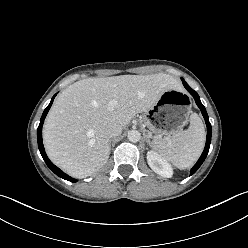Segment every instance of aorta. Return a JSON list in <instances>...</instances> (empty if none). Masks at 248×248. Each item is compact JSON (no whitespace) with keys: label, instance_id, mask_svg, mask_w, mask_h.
Returning a JSON list of instances; mask_svg holds the SVG:
<instances>
[{"label":"aorta","instance_id":"obj_1","mask_svg":"<svg viewBox=\"0 0 248 248\" xmlns=\"http://www.w3.org/2000/svg\"><path fill=\"white\" fill-rule=\"evenodd\" d=\"M141 139V133L137 130H131L128 132V140L136 143Z\"/></svg>","mask_w":248,"mask_h":248}]
</instances>
